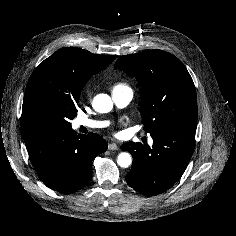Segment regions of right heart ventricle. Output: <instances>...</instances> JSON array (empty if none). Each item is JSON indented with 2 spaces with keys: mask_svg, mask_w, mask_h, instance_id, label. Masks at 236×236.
Here are the masks:
<instances>
[{
  "mask_svg": "<svg viewBox=\"0 0 236 236\" xmlns=\"http://www.w3.org/2000/svg\"><path fill=\"white\" fill-rule=\"evenodd\" d=\"M116 88H128L126 84H123V83H119V84H116L114 89Z\"/></svg>",
  "mask_w": 236,
  "mask_h": 236,
  "instance_id": "obj_1",
  "label": "right heart ventricle"
}]
</instances>
